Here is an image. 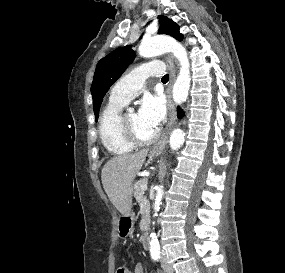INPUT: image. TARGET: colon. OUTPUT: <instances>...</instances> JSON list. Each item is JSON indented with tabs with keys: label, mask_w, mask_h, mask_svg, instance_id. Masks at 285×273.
I'll return each mask as SVG.
<instances>
[{
	"label": "colon",
	"mask_w": 285,
	"mask_h": 273,
	"mask_svg": "<svg viewBox=\"0 0 285 273\" xmlns=\"http://www.w3.org/2000/svg\"><path fill=\"white\" fill-rule=\"evenodd\" d=\"M116 273H128V269L126 267H120Z\"/></svg>",
	"instance_id": "1"
}]
</instances>
